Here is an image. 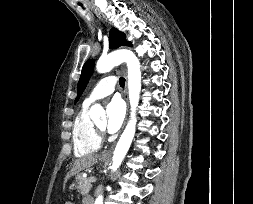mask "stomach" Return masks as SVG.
I'll list each match as a JSON object with an SVG mask.
<instances>
[{"mask_svg": "<svg viewBox=\"0 0 253 204\" xmlns=\"http://www.w3.org/2000/svg\"><path fill=\"white\" fill-rule=\"evenodd\" d=\"M99 161L101 162V163H106L107 162V160L106 159H103L102 157H99ZM66 204H72L71 202H67Z\"/></svg>", "mask_w": 253, "mask_h": 204, "instance_id": "stomach-1", "label": "stomach"}]
</instances>
